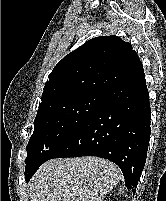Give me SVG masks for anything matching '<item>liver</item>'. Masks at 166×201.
I'll return each instance as SVG.
<instances>
[{
  "label": "liver",
  "mask_w": 166,
  "mask_h": 201,
  "mask_svg": "<svg viewBox=\"0 0 166 201\" xmlns=\"http://www.w3.org/2000/svg\"><path fill=\"white\" fill-rule=\"evenodd\" d=\"M120 169L94 156L43 163L29 183L31 201H103L121 180Z\"/></svg>",
  "instance_id": "liver-1"
}]
</instances>
